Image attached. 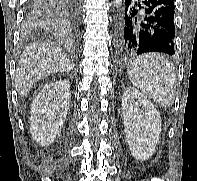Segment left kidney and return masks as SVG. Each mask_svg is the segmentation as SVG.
<instances>
[{"mask_svg": "<svg viewBox=\"0 0 197 181\" xmlns=\"http://www.w3.org/2000/svg\"><path fill=\"white\" fill-rule=\"evenodd\" d=\"M122 114L132 156L147 160L159 141L162 123L159 112L146 96L134 87H128L122 97Z\"/></svg>", "mask_w": 197, "mask_h": 181, "instance_id": "obj_1", "label": "left kidney"}]
</instances>
